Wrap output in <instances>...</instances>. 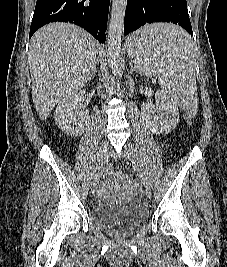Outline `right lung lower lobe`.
<instances>
[{
    "label": "right lung lower lobe",
    "mask_w": 227,
    "mask_h": 267,
    "mask_svg": "<svg viewBox=\"0 0 227 267\" xmlns=\"http://www.w3.org/2000/svg\"><path fill=\"white\" fill-rule=\"evenodd\" d=\"M110 0H37L29 38L50 22H70L91 33L100 43L105 31Z\"/></svg>",
    "instance_id": "right-lung-lower-lobe-1"
}]
</instances>
